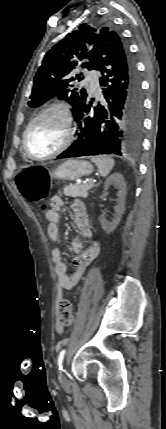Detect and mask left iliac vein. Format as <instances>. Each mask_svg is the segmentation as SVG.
<instances>
[{"label": "left iliac vein", "mask_w": 166, "mask_h": 429, "mask_svg": "<svg viewBox=\"0 0 166 429\" xmlns=\"http://www.w3.org/2000/svg\"><path fill=\"white\" fill-rule=\"evenodd\" d=\"M60 382H61V384H63V385H66V384L68 383V381H67V379H66V377H65V374H64V369H62V370L60 371Z\"/></svg>", "instance_id": "left-iliac-vein-1"}]
</instances>
